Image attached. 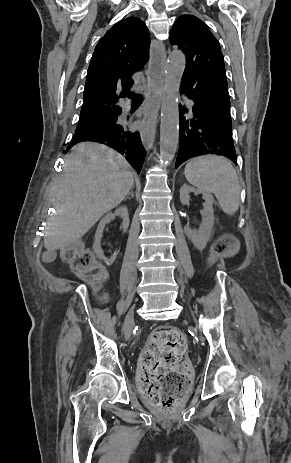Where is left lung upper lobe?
Listing matches in <instances>:
<instances>
[{"mask_svg": "<svg viewBox=\"0 0 291 463\" xmlns=\"http://www.w3.org/2000/svg\"><path fill=\"white\" fill-rule=\"evenodd\" d=\"M186 55L181 90L211 112L231 119L224 58L209 28L193 15L180 16L169 36Z\"/></svg>", "mask_w": 291, "mask_h": 463, "instance_id": "obj_1", "label": "left lung upper lobe"}]
</instances>
